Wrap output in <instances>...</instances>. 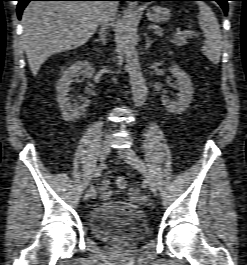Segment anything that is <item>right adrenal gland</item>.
<instances>
[{"label": "right adrenal gland", "mask_w": 247, "mask_h": 265, "mask_svg": "<svg viewBox=\"0 0 247 265\" xmlns=\"http://www.w3.org/2000/svg\"><path fill=\"white\" fill-rule=\"evenodd\" d=\"M97 42H101L103 45H106V34L105 32L101 31L99 35V39L96 40Z\"/></svg>", "instance_id": "1"}]
</instances>
